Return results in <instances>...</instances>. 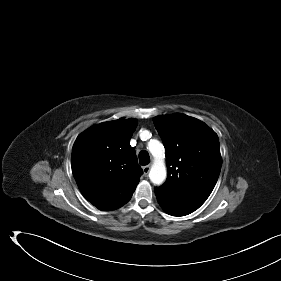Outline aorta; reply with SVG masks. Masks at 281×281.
Instances as JSON below:
<instances>
[{"label":"aorta","mask_w":281,"mask_h":281,"mask_svg":"<svg viewBox=\"0 0 281 281\" xmlns=\"http://www.w3.org/2000/svg\"><path fill=\"white\" fill-rule=\"evenodd\" d=\"M154 157V162L149 172V178L155 185L162 184L167 176V171L164 163V147L156 139H151L147 147Z\"/></svg>","instance_id":"762f6f07"}]
</instances>
